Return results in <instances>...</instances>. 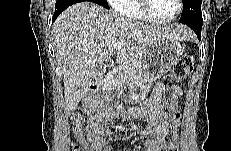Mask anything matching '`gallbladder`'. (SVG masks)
Listing matches in <instances>:
<instances>
[{
	"instance_id": "1",
	"label": "gallbladder",
	"mask_w": 231,
	"mask_h": 151,
	"mask_svg": "<svg viewBox=\"0 0 231 151\" xmlns=\"http://www.w3.org/2000/svg\"><path fill=\"white\" fill-rule=\"evenodd\" d=\"M99 77H100V70L97 69L95 74V79H99Z\"/></svg>"
}]
</instances>
